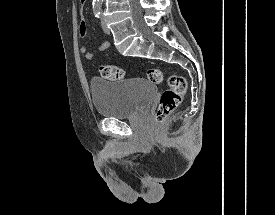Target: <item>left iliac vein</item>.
<instances>
[{"label":"left iliac vein","instance_id":"obj_1","mask_svg":"<svg viewBox=\"0 0 275 215\" xmlns=\"http://www.w3.org/2000/svg\"><path fill=\"white\" fill-rule=\"evenodd\" d=\"M101 24H102V29L106 34L110 33L109 28L107 27L106 23H105V18L102 16L101 18Z\"/></svg>","mask_w":275,"mask_h":215}]
</instances>
